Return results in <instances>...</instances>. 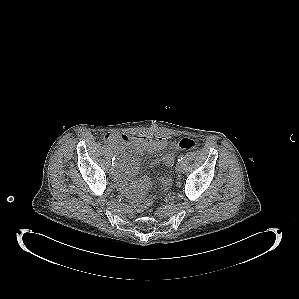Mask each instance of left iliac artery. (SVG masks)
Returning <instances> with one entry per match:
<instances>
[{"label": "left iliac artery", "mask_w": 299, "mask_h": 299, "mask_svg": "<svg viewBox=\"0 0 299 299\" xmlns=\"http://www.w3.org/2000/svg\"><path fill=\"white\" fill-rule=\"evenodd\" d=\"M183 160V155H180L179 157H178V162H181Z\"/></svg>", "instance_id": "44dca946"}]
</instances>
